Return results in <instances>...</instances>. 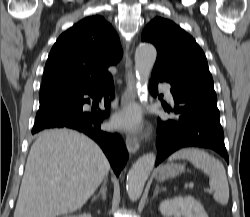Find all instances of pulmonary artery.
I'll list each match as a JSON object with an SVG mask.
<instances>
[{
  "label": "pulmonary artery",
  "mask_w": 250,
  "mask_h": 217,
  "mask_svg": "<svg viewBox=\"0 0 250 217\" xmlns=\"http://www.w3.org/2000/svg\"><path fill=\"white\" fill-rule=\"evenodd\" d=\"M159 88L164 92L167 100L173 102V96L170 91V85L167 83H160Z\"/></svg>",
  "instance_id": "e3ab8cb5"
}]
</instances>
